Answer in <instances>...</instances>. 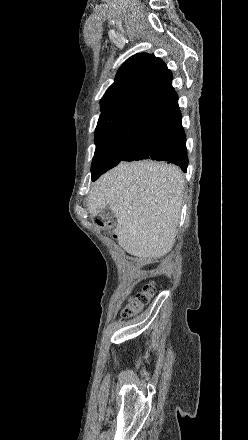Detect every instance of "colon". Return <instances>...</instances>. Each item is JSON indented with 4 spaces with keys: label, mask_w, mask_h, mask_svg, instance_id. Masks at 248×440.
Here are the masks:
<instances>
[{
    "label": "colon",
    "mask_w": 248,
    "mask_h": 440,
    "mask_svg": "<svg viewBox=\"0 0 248 440\" xmlns=\"http://www.w3.org/2000/svg\"><path fill=\"white\" fill-rule=\"evenodd\" d=\"M104 227L110 229L112 225L110 223H104ZM154 292L152 284H147L139 291L134 297H132L124 308L123 314L125 318H131L137 315L150 301Z\"/></svg>",
    "instance_id": "obj_1"
}]
</instances>
